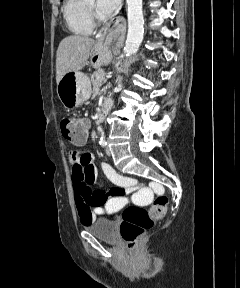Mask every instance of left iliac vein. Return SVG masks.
Returning <instances> with one entry per match:
<instances>
[{
    "mask_svg": "<svg viewBox=\"0 0 240 288\" xmlns=\"http://www.w3.org/2000/svg\"><path fill=\"white\" fill-rule=\"evenodd\" d=\"M105 152L108 156H111V150L109 147H106Z\"/></svg>",
    "mask_w": 240,
    "mask_h": 288,
    "instance_id": "left-iliac-vein-1",
    "label": "left iliac vein"
}]
</instances>
